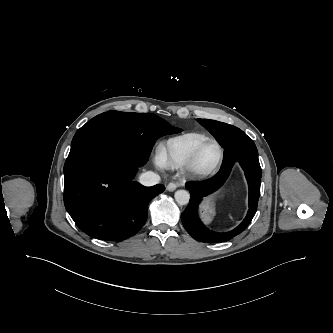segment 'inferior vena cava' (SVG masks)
<instances>
[{"label": "inferior vena cava", "mask_w": 333, "mask_h": 333, "mask_svg": "<svg viewBox=\"0 0 333 333\" xmlns=\"http://www.w3.org/2000/svg\"><path fill=\"white\" fill-rule=\"evenodd\" d=\"M139 182L144 186H153L160 182V176L152 171L142 173Z\"/></svg>", "instance_id": "602c4592"}]
</instances>
